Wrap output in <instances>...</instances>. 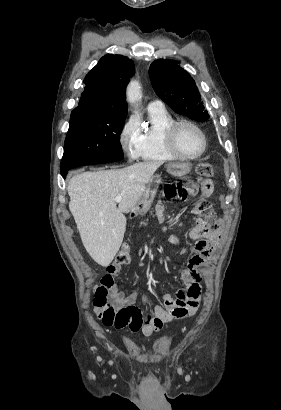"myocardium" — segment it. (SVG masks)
I'll return each mask as SVG.
<instances>
[{"label": "myocardium", "mask_w": 281, "mask_h": 410, "mask_svg": "<svg viewBox=\"0 0 281 410\" xmlns=\"http://www.w3.org/2000/svg\"><path fill=\"white\" fill-rule=\"evenodd\" d=\"M181 126L193 127L200 133L202 140H203V146H202V149L198 153L192 154V155L185 154L177 146L176 133ZM165 141H166L168 149L174 155H176L178 158L185 159V160H193V159H196L202 156L205 153L207 146H208V140H207V136L204 130L198 124L190 120H177V121L175 120L172 124H170L165 131Z\"/></svg>", "instance_id": "obj_1"}]
</instances>
